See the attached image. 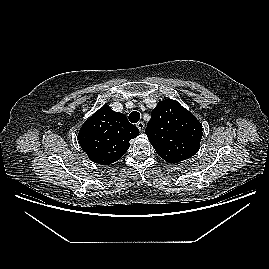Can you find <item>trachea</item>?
Segmentation results:
<instances>
[{
  "mask_svg": "<svg viewBox=\"0 0 269 269\" xmlns=\"http://www.w3.org/2000/svg\"><path fill=\"white\" fill-rule=\"evenodd\" d=\"M129 121L132 122V123H137L140 119V113L137 112V111H133L130 113L129 115Z\"/></svg>",
  "mask_w": 269,
  "mask_h": 269,
  "instance_id": "trachea-1",
  "label": "trachea"
}]
</instances>
